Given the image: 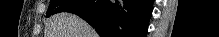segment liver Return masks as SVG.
<instances>
[{
	"label": "liver",
	"mask_w": 219,
	"mask_h": 37,
	"mask_svg": "<svg viewBox=\"0 0 219 37\" xmlns=\"http://www.w3.org/2000/svg\"><path fill=\"white\" fill-rule=\"evenodd\" d=\"M45 37H98L83 19L72 13L62 12L48 21Z\"/></svg>",
	"instance_id": "6515ba94"
}]
</instances>
